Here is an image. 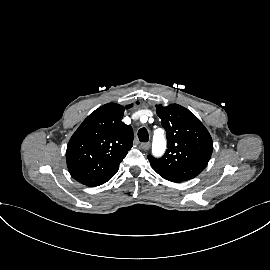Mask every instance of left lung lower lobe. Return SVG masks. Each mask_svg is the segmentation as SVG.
I'll use <instances>...</instances> for the list:
<instances>
[{
  "mask_svg": "<svg viewBox=\"0 0 270 270\" xmlns=\"http://www.w3.org/2000/svg\"><path fill=\"white\" fill-rule=\"evenodd\" d=\"M163 178L166 179V180L172 181V182H181L179 180L172 179V178H167V177H163Z\"/></svg>",
  "mask_w": 270,
  "mask_h": 270,
  "instance_id": "left-lung-lower-lobe-1",
  "label": "left lung lower lobe"
}]
</instances>
